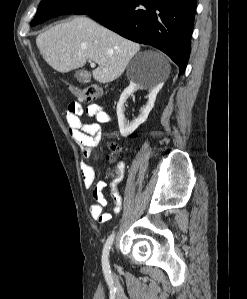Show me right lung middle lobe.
Returning <instances> with one entry per match:
<instances>
[{
    "label": "right lung middle lobe",
    "mask_w": 247,
    "mask_h": 299,
    "mask_svg": "<svg viewBox=\"0 0 247 299\" xmlns=\"http://www.w3.org/2000/svg\"><path fill=\"white\" fill-rule=\"evenodd\" d=\"M123 0H42L31 25L65 14H90L119 4Z\"/></svg>",
    "instance_id": "obj_1"
}]
</instances>
